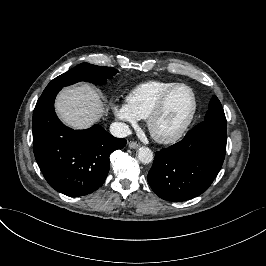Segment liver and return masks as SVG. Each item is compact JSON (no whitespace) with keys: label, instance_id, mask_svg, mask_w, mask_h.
<instances>
[{"label":"liver","instance_id":"obj_1","mask_svg":"<svg viewBox=\"0 0 266 266\" xmlns=\"http://www.w3.org/2000/svg\"><path fill=\"white\" fill-rule=\"evenodd\" d=\"M57 111L70 127L83 129L102 115L99 94L89 85L66 88L57 99Z\"/></svg>","mask_w":266,"mask_h":266}]
</instances>
